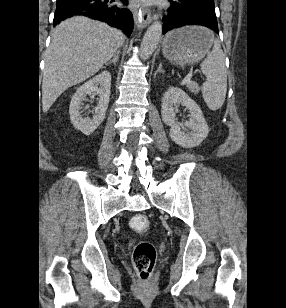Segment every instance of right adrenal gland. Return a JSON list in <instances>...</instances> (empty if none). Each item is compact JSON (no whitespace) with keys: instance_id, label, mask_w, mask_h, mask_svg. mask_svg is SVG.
<instances>
[{"instance_id":"obj_1","label":"right adrenal gland","mask_w":286,"mask_h":308,"mask_svg":"<svg viewBox=\"0 0 286 308\" xmlns=\"http://www.w3.org/2000/svg\"><path fill=\"white\" fill-rule=\"evenodd\" d=\"M119 56H120V51H117V52L114 54L113 59L110 60V61H108L105 65L107 66V65L113 63L114 66H116V63H117V61L119 60Z\"/></svg>"}]
</instances>
